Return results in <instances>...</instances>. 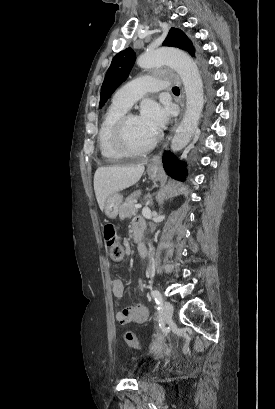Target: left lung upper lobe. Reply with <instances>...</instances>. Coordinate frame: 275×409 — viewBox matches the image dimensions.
Returning <instances> with one entry per match:
<instances>
[{"label": "left lung upper lobe", "instance_id": "obj_1", "mask_svg": "<svg viewBox=\"0 0 275 409\" xmlns=\"http://www.w3.org/2000/svg\"><path fill=\"white\" fill-rule=\"evenodd\" d=\"M162 45L180 48L194 56L192 42L180 29L171 28ZM135 59L136 55L131 48L119 52L112 59L101 87L99 108L105 104L115 89L126 80L133 67Z\"/></svg>", "mask_w": 275, "mask_h": 409}]
</instances>
